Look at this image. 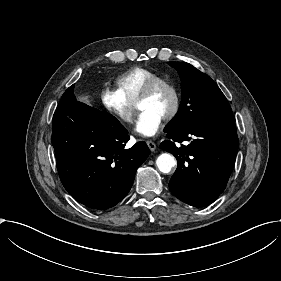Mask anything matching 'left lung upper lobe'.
<instances>
[{"label": "left lung upper lobe", "mask_w": 281, "mask_h": 281, "mask_svg": "<svg viewBox=\"0 0 281 281\" xmlns=\"http://www.w3.org/2000/svg\"><path fill=\"white\" fill-rule=\"evenodd\" d=\"M168 64L180 75L182 101L177 115L166 126L165 132L233 116L227 99L209 76L186 62Z\"/></svg>", "instance_id": "left-lung-upper-lobe-1"}]
</instances>
